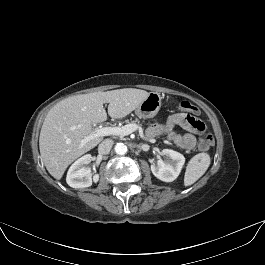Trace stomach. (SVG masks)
Listing matches in <instances>:
<instances>
[{
    "label": "stomach",
    "instance_id": "1",
    "mask_svg": "<svg viewBox=\"0 0 265 265\" xmlns=\"http://www.w3.org/2000/svg\"><path fill=\"white\" fill-rule=\"evenodd\" d=\"M162 97L159 93L151 92L148 97L136 108L135 113L139 118H153L161 107Z\"/></svg>",
    "mask_w": 265,
    "mask_h": 265
}]
</instances>
